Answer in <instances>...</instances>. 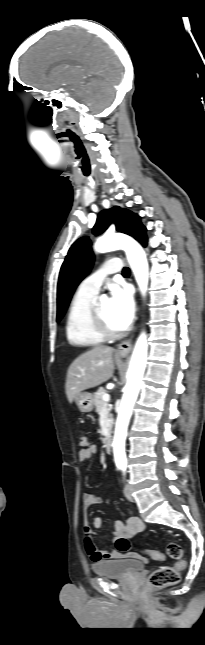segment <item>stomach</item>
I'll return each mask as SVG.
<instances>
[{
  "instance_id": "0dacf381",
  "label": "stomach",
  "mask_w": 205,
  "mask_h": 645,
  "mask_svg": "<svg viewBox=\"0 0 205 645\" xmlns=\"http://www.w3.org/2000/svg\"><path fill=\"white\" fill-rule=\"evenodd\" d=\"M79 410L83 413L91 412L94 408V397L91 393L83 392L74 398Z\"/></svg>"
}]
</instances>
